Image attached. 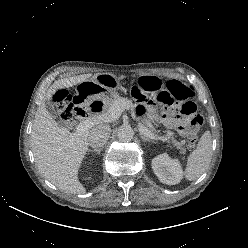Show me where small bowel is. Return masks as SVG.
Masks as SVG:
<instances>
[{
  "label": "small bowel",
  "mask_w": 248,
  "mask_h": 248,
  "mask_svg": "<svg viewBox=\"0 0 248 248\" xmlns=\"http://www.w3.org/2000/svg\"><path fill=\"white\" fill-rule=\"evenodd\" d=\"M147 106L146 105H141L139 107V112L141 114L145 113L147 111ZM163 122L168 126V127H174L176 128L180 133L183 135H187L190 128L185 122H181L178 118L174 116H168L164 115L163 116Z\"/></svg>",
  "instance_id": "1"
}]
</instances>
